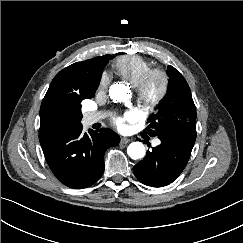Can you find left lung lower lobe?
<instances>
[{
    "label": "left lung lower lobe",
    "instance_id": "1",
    "mask_svg": "<svg viewBox=\"0 0 243 243\" xmlns=\"http://www.w3.org/2000/svg\"><path fill=\"white\" fill-rule=\"evenodd\" d=\"M161 144L147 151L143 160L133 167L136 178L151 187L172 183L186 167L192 148L176 140L160 138Z\"/></svg>",
    "mask_w": 243,
    "mask_h": 243
}]
</instances>
